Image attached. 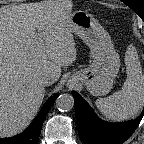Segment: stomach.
Masks as SVG:
<instances>
[{
    "label": "stomach",
    "mask_w": 144,
    "mask_h": 144,
    "mask_svg": "<svg viewBox=\"0 0 144 144\" xmlns=\"http://www.w3.org/2000/svg\"><path fill=\"white\" fill-rule=\"evenodd\" d=\"M72 32L90 48L93 62L89 67L74 73L70 83H83L94 96L109 93L120 68L119 54L111 37L97 19L84 10L71 13Z\"/></svg>",
    "instance_id": "stomach-1"
}]
</instances>
